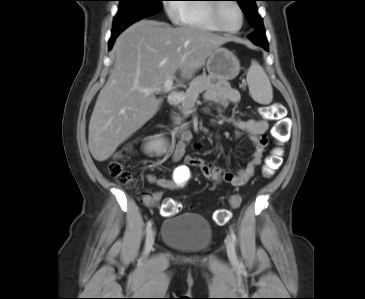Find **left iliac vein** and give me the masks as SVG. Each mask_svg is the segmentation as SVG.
<instances>
[{
    "instance_id": "obj_1",
    "label": "left iliac vein",
    "mask_w": 365,
    "mask_h": 299,
    "mask_svg": "<svg viewBox=\"0 0 365 299\" xmlns=\"http://www.w3.org/2000/svg\"><path fill=\"white\" fill-rule=\"evenodd\" d=\"M226 251H227V255H228L230 262L232 264H236L238 262V259H237V254H236V250H235V245H234L233 241L231 240V238H227Z\"/></svg>"
}]
</instances>
